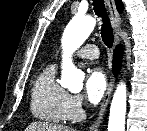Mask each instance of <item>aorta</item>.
<instances>
[{
    "label": "aorta",
    "mask_w": 147,
    "mask_h": 131,
    "mask_svg": "<svg viewBox=\"0 0 147 131\" xmlns=\"http://www.w3.org/2000/svg\"><path fill=\"white\" fill-rule=\"evenodd\" d=\"M96 25V20L90 16H75L67 25L63 38V63L60 84L72 92L83 88L84 72L75 67L71 54L77 50L89 37ZM127 89L121 82L114 93L109 115L108 131H124L126 116Z\"/></svg>",
    "instance_id": "1"
}]
</instances>
